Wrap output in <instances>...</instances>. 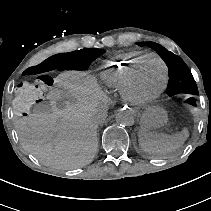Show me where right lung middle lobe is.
<instances>
[{"mask_svg":"<svg viewBox=\"0 0 211 211\" xmlns=\"http://www.w3.org/2000/svg\"><path fill=\"white\" fill-rule=\"evenodd\" d=\"M82 53V60L84 62V69H87L91 62H93L97 57L105 53V50L101 49H84L80 50Z\"/></svg>","mask_w":211,"mask_h":211,"instance_id":"1","label":"right lung middle lobe"}]
</instances>
